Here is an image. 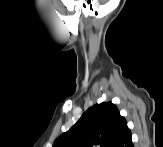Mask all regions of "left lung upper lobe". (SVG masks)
Listing matches in <instances>:
<instances>
[{
    "label": "left lung upper lobe",
    "instance_id": "obj_1",
    "mask_svg": "<svg viewBox=\"0 0 163 147\" xmlns=\"http://www.w3.org/2000/svg\"><path fill=\"white\" fill-rule=\"evenodd\" d=\"M126 127V120L114 104H96L69 131L56 139L53 147H114Z\"/></svg>",
    "mask_w": 163,
    "mask_h": 147
}]
</instances>
